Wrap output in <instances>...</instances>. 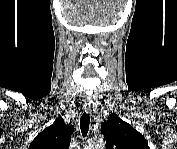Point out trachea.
Here are the masks:
<instances>
[{
	"label": "trachea",
	"mask_w": 177,
	"mask_h": 149,
	"mask_svg": "<svg viewBox=\"0 0 177 149\" xmlns=\"http://www.w3.org/2000/svg\"><path fill=\"white\" fill-rule=\"evenodd\" d=\"M90 116L87 113H83L80 118V129L83 136H87L89 130Z\"/></svg>",
	"instance_id": "trachea-1"
}]
</instances>
